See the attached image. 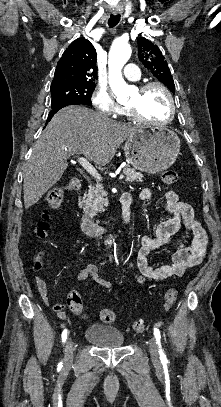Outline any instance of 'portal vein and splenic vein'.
<instances>
[{"mask_svg": "<svg viewBox=\"0 0 221 407\" xmlns=\"http://www.w3.org/2000/svg\"><path fill=\"white\" fill-rule=\"evenodd\" d=\"M78 163L91 175L93 176L97 181H102L101 175L98 173L96 168L84 157H77ZM124 178V175L121 174L119 176V180H122Z\"/></svg>", "mask_w": 221, "mask_h": 407, "instance_id": "portal-vein-and-splenic-vein-1", "label": "portal vein and splenic vein"}]
</instances>
